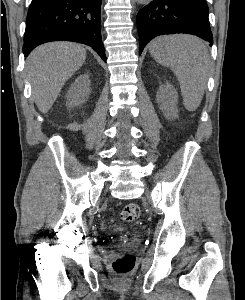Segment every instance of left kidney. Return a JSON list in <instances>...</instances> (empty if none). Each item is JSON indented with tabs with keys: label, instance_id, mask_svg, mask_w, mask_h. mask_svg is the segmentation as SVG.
<instances>
[{
	"label": "left kidney",
	"instance_id": "obj_1",
	"mask_svg": "<svg viewBox=\"0 0 245 300\" xmlns=\"http://www.w3.org/2000/svg\"><path fill=\"white\" fill-rule=\"evenodd\" d=\"M160 109L166 116L174 115L177 108V93L172 85L160 86L157 92Z\"/></svg>",
	"mask_w": 245,
	"mask_h": 300
}]
</instances>
